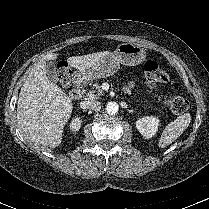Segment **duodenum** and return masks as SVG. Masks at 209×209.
Returning a JSON list of instances; mask_svg holds the SVG:
<instances>
[{
  "mask_svg": "<svg viewBox=\"0 0 209 209\" xmlns=\"http://www.w3.org/2000/svg\"><path fill=\"white\" fill-rule=\"evenodd\" d=\"M82 83L77 82L74 86V88L70 91V97L73 100H77L82 96Z\"/></svg>",
  "mask_w": 209,
  "mask_h": 209,
  "instance_id": "duodenum-1",
  "label": "duodenum"
}]
</instances>
